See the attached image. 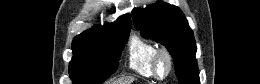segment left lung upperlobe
<instances>
[{"label":"left lung upper lobe","mask_w":260,"mask_h":84,"mask_svg":"<svg viewBox=\"0 0 260 84\" xmlns=\"http://www.w3.org/2000/svg\"><path fill=\"white\" fill-rule=\"evenodd\" d=\"M134 26L143 37L163 44L174 58L180 84H200L196 43L182 11L164 2L132 11Z\"/></svg>","instance_id":"5c2ea615"}]
</instances>
